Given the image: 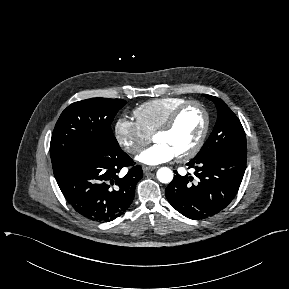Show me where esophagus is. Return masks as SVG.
I'll use <instances>...</instances> for the list:
<instances>
[{
    "mask_svg": "<svg viewBox=\"0 0 289 289\" xmlns=\"http://www.w3.org/2000/svg\"><path fill=\"white\" fill-rule=\"evenodd\" d=\"M143 171L144 172H148V171H153L156 169V167H153V166H143Z\"/></svg>",
    "mask_w": 289,
    "mask_h": 289,
    "instance_id": "34e87169",
    "label": "esophagus"
}]
</instances>
